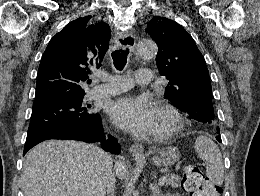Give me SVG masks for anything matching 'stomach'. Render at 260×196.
Returning <instances> with one entry per match:
<instances>
[{
	"label": "stomach",
	"instance_id": "0dacf381",
	"mask_svg": "<svg viewBox=\"0 0 260 196\" xmlns=\"http://www.w3.org/2000/svg\"><path fill=\"white\" fill-rule=\"evenodd\" d=\"M180 160V152L176 146H169V148H154L153 158H151L154 166H173ZM136 162H145V160H136Z\"/></svg>",
	"mask_w": 260,
	"mask_h": 196
}]
</instances>
